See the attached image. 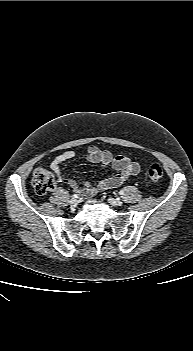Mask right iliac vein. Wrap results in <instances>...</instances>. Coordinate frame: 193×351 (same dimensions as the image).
<instances>
[{"label": "right iliac vein", "mask_w": 193, "mask_h": 351, "mask_svg": "<svg viewBox=\"0 0 193 351\" xmlns=\"http://www.w3.org/2000/svg\"><path fill=\"white\" fill-rule=\"evenodd\" d=\"M69 204L71 206V208H75L77 205H78V200L75 199V198H72L70 201H69Z\"/></svg>", "instance_id": "1"}]
</instances>
